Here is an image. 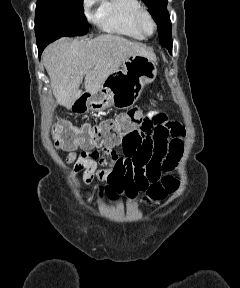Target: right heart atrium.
Here are the masks:
<instances>
[{"instance_id": "right-heart-atrium-1", "label": "right heart atrium", "mask_w": 240, "mask_h": 288, "mask_svg": "<svg viewBox=\"0 0 240 288\" xmlns=\"http://www.w3.org/2000/svg\"><path fill=\"white\" fill-rule=\"evenodd\" d=\"M100 0H83L82 7L86 17L89 20H94L97 18V13L95 12V8L98 5Z\"/></svg>"}]
</instances>
